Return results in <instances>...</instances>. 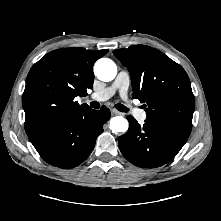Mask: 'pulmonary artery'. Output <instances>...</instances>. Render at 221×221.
I'll return each instance as SVG.
<instances>
[{"mask_svg": "<svg viewBox=\"0 0 221 221\" xmlns=\"http://www.w3.org/2000/svg\"><path fill=\"white\" fill-rule=\"evenodd\" d=\"M129 83V74L126 71H120L117 74L114 82L109 87L91 94L90 99L96 101H104L112 97L117 91L120 93L123 99H126ZM135 114L140 121H144L146 119V113L142 110L135 109Z\"/></svg>", "mask_w": 221, "mask_h": 221, "instance_id": "pulmonary-artery-1", "label": "pulmonary artery"}]
</instances>
